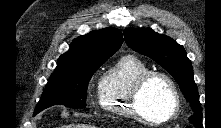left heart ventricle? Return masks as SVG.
Segmentation results:
<instances>
[{"instance_id": "b2bd125f", "label": "left heart ventricle", "mask_w": 221, "mask_h": 128, "mask_svg": "<svg viewBox=\"0 0 221 128\" xmlns=\"http://www.w3.org/2000/svg\"><path fill=\"white\" fill-rule=\"evenodd\" d=\"M139 103L149 117L164 118L172 108V98L167 83L161 78L151 79L141 91Z\"/></svg>"}]
</instances>
